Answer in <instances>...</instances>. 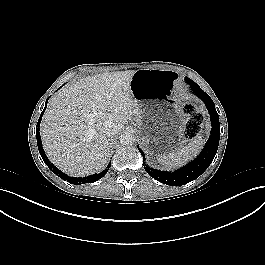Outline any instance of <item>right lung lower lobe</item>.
<instances>
[{"mask_svg":"<svg viewBox=\"0 0 265 265\" xmlns=\"http://www.w3.org/2000/svg\"><path fill=\"white\" fill-rule=\"evenodd\" d=\"M48 99L46 100L45 108H44L43 112L41 113L40 118H39L38 123H37V126H36L37 145H38V149H39L40 155L43 158L44 162L46 163V165L49 167V169L54 174H56L57 176H59L61 179L65 180V181H67V182H69L71 184H74V185H81V184H85V183H92V182H95V181L101 179L107 173L108 170H103L99 174H93V175L86 176V177H70V176L66 175L65 173H63L62 171H60L58 168H56L48 160V158H47V156H46V154L44 152V149L42 147V142H41L40 133H39L40 122H41L43 113H44V111H45V109L47 107V101H48ZM109 167H110V164L108 165V168Z\"/></svg>","mask_w":265,"mask_h":265,"instance_id":"1","label":"right lung lower lobe"}]
</instances>
